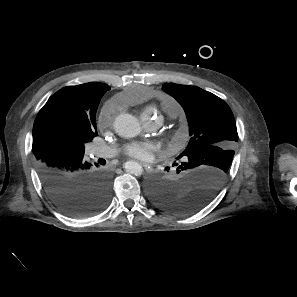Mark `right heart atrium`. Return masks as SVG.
<instances>
[{"mask_svg":"<svg viewBox=\"0 0 297 297\" xmlns=\"http://www.w3.org/2000/svg\"><path fill=\"white\" fill-rule=\"evenodd\" d=\"M114 112L115 109L112 102H108L104 105L100 116L101 123L103 126H108L111 123L114 117Z\"/></svg>","mask_w":297,"mask_h":297,"instance_id":"d8ad5b80","label":"right heart atrium"}]
</instances>
